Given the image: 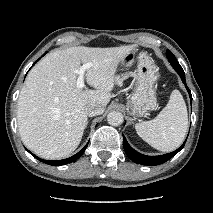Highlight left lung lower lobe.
Here are the masks:
<instances>
[{"instance_id": "1", "label": "left lung lower lobe", "mask_w": 213, "mask_h": 213, "mask_svg": "<svg viewBox=\"0 0 213 213\" xmlns=\"http://www.w3.org/2000/svg\"><path fill=\"white\" fill-rule=\"evenodd\" d=\"M177 72L180 75L182 82L185 84L186 89L189 93L191 102H192L191 91L189 90V88L186 85L185 73L182 72V71H177ZM185 142L180 146V148H178L174 152L164 154V155H160V156H147V155L140 154L139 152L134 150L128 144L126 138L123 135V146H124V150H125L127 156L137 164L149 165V166H155V165L163 164L164 162L168 161L169 159H171L173 156H175L184 147Z\"/></svg>"}]
</instances>
